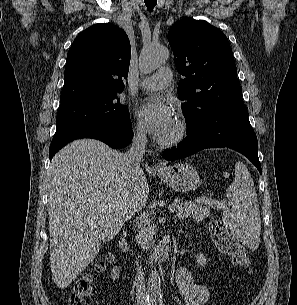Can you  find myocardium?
Segmentation results:
<instances>
[{
    "mask_svg": "<svg viewBox=\"0 0 297 305\" xmlns=\"http://www.w3.org/2000/svg\"><path fill=\"white\" fill-rule=\"evenodd\" d=\"M188 125L186 121L179 117L176 120V129L174 133L165 139H160L159 144L163 147H172L179 144L187 135Z\"/></svg>",
    "mask_w": 297,
    "mask_h": 305,
    "instance_id": "f54148a6",
    "label": "myocardium"
}]
</instances>
